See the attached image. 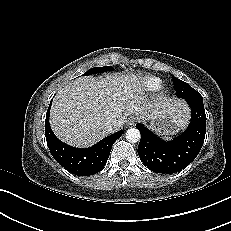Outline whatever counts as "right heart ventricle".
<instances>
[{"instance_id":"obj_1","label":"right heart ventricle","mask_w":231,"mask_h":231,"mask_svg":"<svg viewBox=\"0 0 231 231\" xmlns=\"http://www.w3.org/2000/svg\"><path fill=\"white\" fill-rule=\"evenodd\" d=\"M137 88L146 92L154 93L162 87V81L153 76H145L131 81Z\"/></svg>"}]
</instances>
